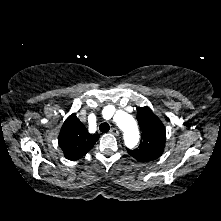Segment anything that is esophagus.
<instances>
[{
    "label": "esophagus",
    "instance_id": "esophagus-1",
    "mask_svg": "<svg viewBox=\"0 0 221 221\" xmlns=\"http://www.w3.org/2000/svg\"><path fill=\"white\" fill-rule=\"evenodd\" d=\"M110 133L113 134L114 136H119V131L116 128H112L110 130Z\"/></svg>",
    "mask_w": 221,
    "mask_h": 221
}]
</instances>
